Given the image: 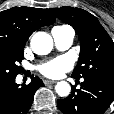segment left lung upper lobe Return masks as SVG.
<instances>
[{
	"mask_svg": "<svg viewBox=\"0 0 114 114\" xmlns=\"http://www.w3.org/2000/svg\"><path fill=\"white\" fill-rule=\"evenodd\" d=\"M49 11L71 25L79 36L80 55L72 76L114 80V43L97 18L83 9L67 6Z\"/></svg>",
	"mask_w": 114,
	"mask_h": 114,
	"instance_id": "obj_1",
	"label": "left lung upper lobe"
}]
</instances>
